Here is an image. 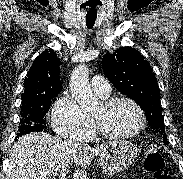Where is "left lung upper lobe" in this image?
<instances>
[{
    "label": "left lung upper lobe",
    "instance_id": "5c2ea615",
    "mask_svg": "<svg viewBox=\"0 0 183 179\" xmlns=\"http://www.w3.org/2000/svg\"><path fill=\"white\" fill-rule=\"evenodd\" d=\"M102 67L105 76L116 89L133 99L145 111L149 124L163 136V142L168 145L157 78L144 56L132 47H122L113 54L106 53Z\"/></svg>",
    "mask_w": 183,
    "mask_h": 179
}]
</instances>
